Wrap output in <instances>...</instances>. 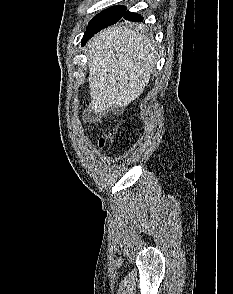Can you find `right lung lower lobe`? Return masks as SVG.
<instances>
[{
  "label": "right lung lower lobe",
  "mask_w": 233,
  "mask_h": 294,
  "mask_svg": "<svg viewBox=\"0 0 233 294\" xmlns=\"http://www.w3.org/2000/svg\"><path fill=\"white\" fill-rule=\"evenodd\" d=\"M122 17H124L125 19L132 21V22H140L143 21V18L141 17V15L137 14V13H132L129 11H125V13L122 15ZM116 23V22H115ZM114 23L109 22V23H104L101 24L93 29H90L88 31H86V33L84 34V37L82 39V45H84L95 33H97L98 31H100L101 29L110 26Z\"/></svg>",
  "instance_id": "obj_1"
}]
</instances>
